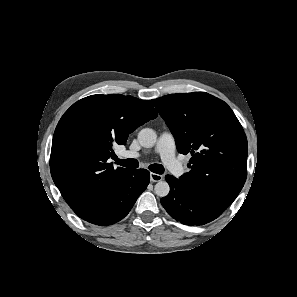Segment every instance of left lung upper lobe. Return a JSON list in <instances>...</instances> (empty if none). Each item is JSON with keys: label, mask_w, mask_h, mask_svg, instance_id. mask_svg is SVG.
Masks as SVG:
<instances>
[{"label": "left lung upper lobe", "mask_w": 297, "mask_h": 297, "mask_svg": "<svg viewBox=\"0 0 297 297\" xmlns=\"http://www.w3.org/2000/svg\"><path fill=\"white\" fill-rule=\"evenodd\" d=\"M172 132L177 149L191 153V169L178 180L219 213L236 199L247 177L244 130L224 101L205 92L151 100Z\"/></svg>", "instance_id": "1"}]
</instances>
